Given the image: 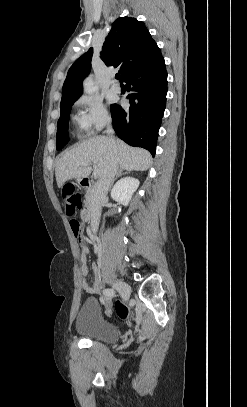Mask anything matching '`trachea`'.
Masks as SVG:
<instances>
[{
	"mask_svg": "<svg viewBox=\"0 0 247 407\" xmlns=\"http://www.w3.org/2000/svg\"><path fill=\"white\" fill-rule=\"evenodd\" d=\"M115 78H116V79H119V78H120V74H116V75H115Z\"/></svg>",
	"mask_w": 247,
	"mask_h": 407,
	"instance_id": "1",
	"label": "trachea"
}]
</instances>
